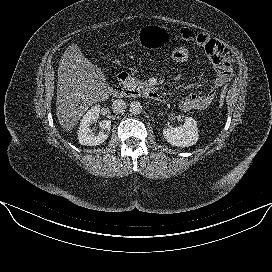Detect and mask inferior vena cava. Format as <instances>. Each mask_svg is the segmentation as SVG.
<instances>
[{
	"mask_svg": "<svg viewBox=\"0 0 272 272\" xmlns=\"http://www.w3.org/2000/svg\"><path fill=\"white\" fill-rule=\"evenodd\" d=\"M112 109H113V112L117 113V114L124 112L126 109L125 101L122 99H117V100L113 101Z\"/></svg>",
	"mask_w": 272,
	"mask_h": 272,
	"instance_id": "inferior-vena-cava-1",
	"label": "inferior vena cava"
}]
</instances>
